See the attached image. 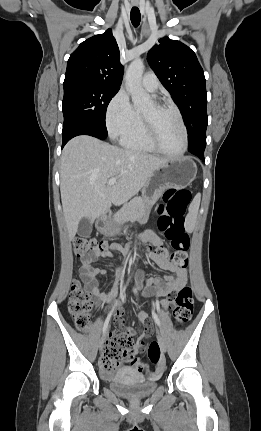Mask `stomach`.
<instances>
[{
    "label": "stomach",
    "instance_id": "1",
    "mask_svg": "<svg viewBox=\"0 0 261 431\" xmlns=\"http://www.w3.org/2000/svg\"><path fill=\"white\" fill-rule=\"evenodd\" d=\"M196 174V163L190 158L168 159L154 171L145 184L142 192L143 199L148 206H152L166 189H179L191 185ZM99 230L107 236H113L119 232L120 228L111 220H104Z\"/></svg>",
    "mask_w": 261,
    "mask_h": 431
}]
</instances>
